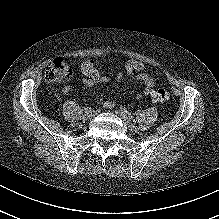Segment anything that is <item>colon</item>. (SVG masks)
Instances as JSON below:
<instances>
[{
  "mask_svg": "<svg viewBox=\"0 0 219 219\" xmlns=\"http://www.w3.org/2000/svg\"><path fill=\"white\" fill-rule=\"evenodd\" d=\"M137 71L138 69L136 67H130L127 69L128 74ZM71 73L72 70L68 61L63 57H58L47 67L44 77L47 83H56L70 76ZM150 97L155 102H164L169 99V94L163 89H158L152 91Z\"/></svg>",
  "mask_w": 219,
  "mask_h": 219,
  "instance_id": "1",
  "label": "colon"
}]
</instances>
